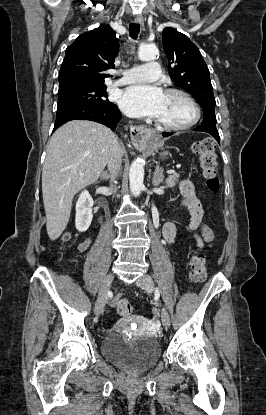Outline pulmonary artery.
<instances>
[{
    "label": "pulmonary artery",
    "mask_w": 266,
    "mask_h": 415,
    "mask_svg": "<svg viewBox=\"0 0 266 415\" xmlns=\"http://www.w3.org/2000/svg\"><path fill=\"white\" fill-rule=\"evenodd\" d=\"M160 65L157 62H149L122 72V77L115 85H127L139 82L155 81L160 77Z\"/></svg>",
    "instance_id": "obj_1"
}]
</instances>
